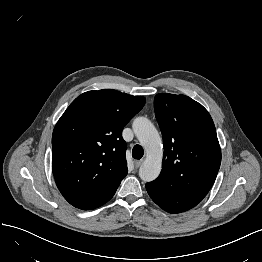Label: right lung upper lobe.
<instances>
[{
  "label": "right lung upper lobe",
  "mask_w": 262,
  "mask_h": 262,
  "mask_svg": "<svg viewBox=\"0 0 262 262\" xmlns=\"http://www.w3.org/2000/svg\"><path fill=\"white\" fill-rule=\"evenodd\" d=\"M144 104L142 96L102 89L66 109L52 135V170L71 205L92 210L113 197L128 172L122 130Z\"/></svg>",
  "instance_id": "right-lung-upper-lobe-1"
}]
</instances>
